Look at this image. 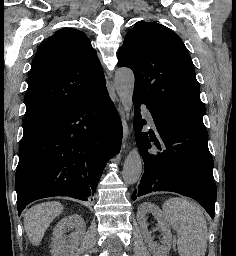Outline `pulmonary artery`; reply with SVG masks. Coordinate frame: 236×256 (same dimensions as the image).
Segmentation results:
<instances>
[{"instance_id":"1","label":"pulmonary artery","mask_w":236,"mask_h":256,"mask_svg":"<svg viewBox=\"0 0 236 256\" xmlns=\"http://www.w3.org/2000/svg\"><path fill=\"white\" fill-rule=\"evenodd\" d=\"M141 109H142V112L145 115V117L152 123L153 122V118H152V115H151L149 109L147 108V106L146 105H142Z\"/></svg>"}]
</instances>
